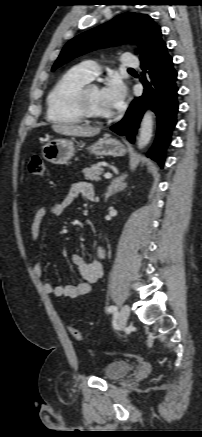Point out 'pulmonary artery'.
<instances>
[{
  "label": "pulmonary artery",
  "instance_id": "pulmonary-artery-1",
  "mask_svg": "<svg viewBox=\"0 0 202 437\" xmlns=\"http://www.w3.org/2000/svg\"><path fill=\"white\" fill-rule=\"evenodd\" d=\"M121 64L126 68L134 69L139 66V60L131 54H124L121 57ZM78 67L90 80L94 79L100 73V67L91 60L81 63Z\"/></svg>",
  "mask_w": 202,
  "mask_h": 437
}]
</instances>
